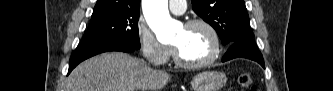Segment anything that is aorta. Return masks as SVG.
I'll return each mask as SVG.
<instances>
[{"label":"aorta","mask_w":333,"mask_h":91,"mask_svg":"<svg viewBox=\"0 0 333 91\" xmlns=\"http://www.w3.org/2000/svg\"><path fill=\"white\" fill-rule=\"evenodd\" d=\"M144 17L159 42H170L178 24L170 17L168 0H143Z\"/></svg>","instance_id":"aorta-1"}]
</instances>
